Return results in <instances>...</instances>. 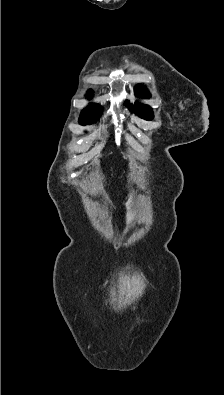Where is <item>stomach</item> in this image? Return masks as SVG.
<instances>
[{"label": "stomach", "mask_w": 224, "mask_h": 395, "mask_svg": "<svg viewBox=\"0 0 224 395\" xmlns=\"http://www.w3.org/2000/svg\"><path fill=\"white\" fill-rule=\"evenodd\" d=\"M135 220V214L133 210H129L126 214V223H132Z\"/></svg>", "instance_id": "obj_1"}]
</instances>
